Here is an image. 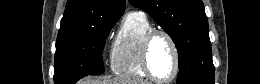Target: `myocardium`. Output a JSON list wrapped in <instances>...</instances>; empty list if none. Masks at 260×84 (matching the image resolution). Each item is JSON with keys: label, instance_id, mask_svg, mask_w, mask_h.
Listing matches in <instances>:
<instances>
[{"label": "myocardium", "instance_id": "f54148a6", "mask_svg": "<svg viewBox=\"0 0 260 84\" xmlns=\"http://www.w3.org/2000/svg\"><path fill=\"white\" fill-rule=\"evenodd\" d=\"M157 36H164L169 41V43L173 49L174 71H173L171 77L168 79L158 78L153 73L151 66H150L151 45H152L153 40ZM142 67H143L145 73L147 74V76L156 83L168 84V83L173 82L177 78L179 71H180V53H179V49L176 44V41L174 40V38L172 37V35L170 33H168L167 31H165L163 29L153 28L145 35V37L142 41Z\"/></svg>", "mask_w": 260, "mask_h": 84}]
</instances>
